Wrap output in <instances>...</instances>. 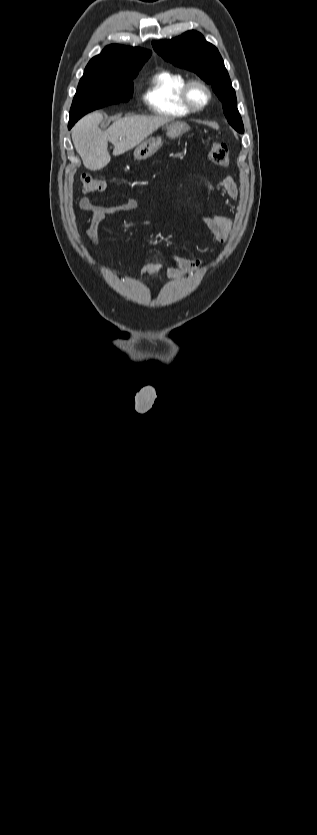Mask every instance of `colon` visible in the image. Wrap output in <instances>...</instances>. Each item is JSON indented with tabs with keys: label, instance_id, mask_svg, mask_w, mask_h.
<instances>
[{
	"label": "colon",
	"instance_id": "5ec220e1",
	"mask_svg": "<svg viewBox=\"0 0 317 835\" xmlns=\"http://www.w3.org/2000/svg\"><path fill=\"white\" fill-rule=\"evenodd\" d=\"M208 156L211 162L219 166H227L229 163V149L226 144L218 141H211L209 144ZM83 191L86 193H100L106 188L105 182L97 176L84 174L81 177Z\"/></svg>",
	"mask_w": 317,
	"mask_h": 835
}]
</instances>
